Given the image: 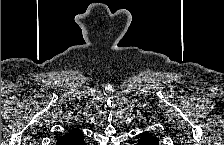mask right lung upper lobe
Wrapping results in <instances>:
<instances>
[{"label":"right lung upper lobe","instance_id":"1","mask_svg":"<svg viewBox=\"0 0 224 145\" xmlns=\"http://www.w3.org/2000/svg\"><path fill=\"white\" fill-rule=\"evenodd\" d=\"M83 138L82 132L73 128L69 133L58 138L57 145H76L75 143Z\"/></svg>","mask_w":224,"mask_h":145}]
</instances>
